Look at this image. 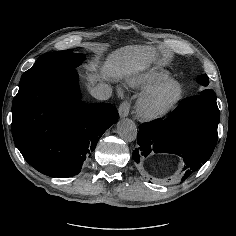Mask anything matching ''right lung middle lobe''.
I'll list each match as a JSON object with an SVG mask.
<instances>
[{"mask_svg":"<svg viewBox=\"0 0 236 236\" xmlns=\"http://www.w3.org/2000/svg\"><path fill=\"white\" fill-rule=\"evenodd\" d=\"M84 58V54L73 53L70 50L44 54L37 59L29 70L23 73L19 87L43 76L76 68Z\"/></svg>","mask_w":236,"mask_h":236,"instance_id":"right-lung-middle-lobe-1","label":"right lung middle lobe"}]
</instances>
